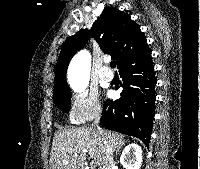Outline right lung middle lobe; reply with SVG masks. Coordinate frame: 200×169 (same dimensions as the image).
Returning a JSON list of instances; mask_svg holds the SVG:
<instances>
[{"mask_svg": "<svg viewBox=\"0 0 200 169\" xmlns=\"http://www.w3.org/2000/svg\"><path fill=\"white\" fill-rule=\"evenodd\" d=\"M71 92L58 94L53 96V100L58 108L65 112H69L70 109Z\"/></svg>", "mask_w": 200, "mask_h": 169, "instance_id": "1", "label": "right lung middle lobe"}]
</instances>
